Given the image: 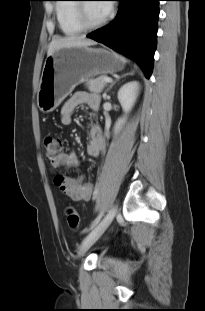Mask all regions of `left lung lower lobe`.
I'll return each mask as SVG.
<instances>
[{"label":"left lung lower lobe","instance_id":"left-lung-lower-lobe-1","mask_svg":"<svg viewBox=\"0 0 205 311\" xmlns=\"http://www.w3.org/2000/svg\"><path fill=\"white\" fill-rule=\"evenodd\" d=\"M117 16L108 25L87 35L133 59L149 78L156 49L160 0H119Z\"/></svg>","mask_w":205,"mask_h":311}]
</instances>
